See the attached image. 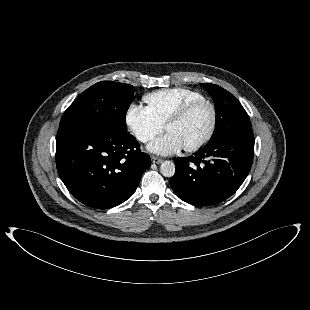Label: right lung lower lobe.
Segmentation results:
<instances>
[{
    "label": "right lung lower lobe",
    "mask_w": 310,
    "mask_h": 310,
    "mask_svg": "<svg viewBox=\"0 0 310 310\" xmlns=\"http://www.w3.org/2000/svg\"><path fill=\"white\" fill-rule=\"evenodd\" d=\"M150 164L149 155L141 152L129 133L116 136L81 125L58 130L59 176L70 193L89 207L107 209L126 201Z\"/></svg>",
    "instance_id": "98d812e1"
}]
</instances>
